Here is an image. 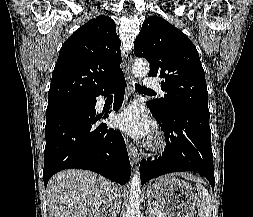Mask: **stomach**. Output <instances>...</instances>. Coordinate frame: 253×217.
<instances>
[{
	"label": "stomach",
	"instance_id": "stomach-1",
	"mask_svg": "<svg viewBox=\"0 0 253 217\" xmlns=\"http://www.w3.org/2000/svg\"><path fill=\"white\" fill-rule=\"evenodd\" d=\"M150 198L160 202L170 217H194L198 206L197 194L187 182L166 175L147 188Z\"/></svg>",
	"mask_w": 253,
	"mask_h": 217
}]
</instances>
